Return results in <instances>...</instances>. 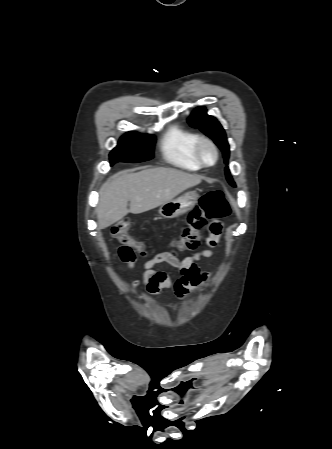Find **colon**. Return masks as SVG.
Masks as SVG:
<instances>
[{"mask_svg":"<svg viewBox=\"0 0 332 449\" xmlns=\"http://www.w3.org/2000/svg\"><path fill=\"white\" fill-rule=\"evenodd\" d=\"M231 212L230 205L221 191H211L203 195L198 205L189 213L187 226L176 241L178 248L194 251L201 243V233L206 229L217 232L212 224L226 218ZM131 222L128 219L118 221L112 227L113 236L120 242L119 256L122 262L132 263L136 253L142 252L144 245L132 238L128 231Z\"/></svg>","mask_w":332,"mask_h":449,"instance_id":"1","label":"colon"}]
</instances>
